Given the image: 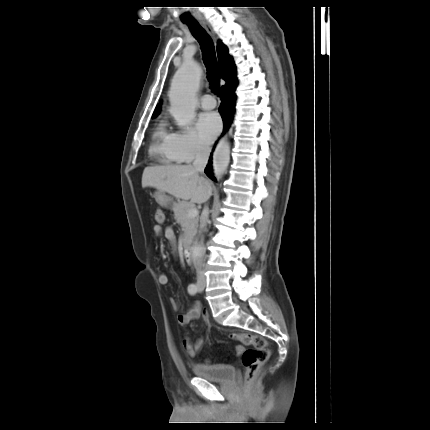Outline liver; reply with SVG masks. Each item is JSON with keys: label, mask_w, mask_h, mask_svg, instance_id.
Segmentation results:
<instances>
[{"label": "liver", "mask_w": 430, "mask_h": 430, "mask_svg": "<svg viewBox=\"0 0 430 430\" xmlns=\"http://www.w3.org/2000/svg\"><path fill=\"white\" fill-rule=\"evenodd\" d=\"M148 186L197 204L206 202L212 195V182L200 177L191 165L146 167L142 174V187Z\"/></svg>", "instance_id": "1"}]
</instances>
